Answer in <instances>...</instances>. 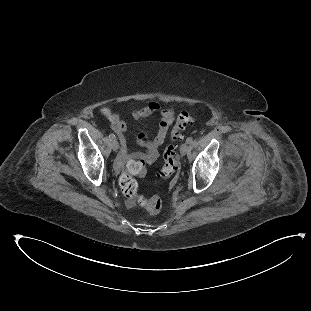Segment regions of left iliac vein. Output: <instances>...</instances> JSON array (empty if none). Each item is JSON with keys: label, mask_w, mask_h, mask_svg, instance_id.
I'll use <instances>...</instances> for the list:
<instances>
[{"label": "left iliac vein", "mask_w": 311, "mask_h": 311, "mask_svg": "<svg viewBox=\"0 0 311 311\" xmlns=\"http://www.w3.org/2000/svg\"><path fill=\"white\" fill-rule=\"evenodd\" d=\"M189 151V146L187 145V143H184L181 145L180 147V153L182 156H185Z\"/></svg>", "instance_id": "left-iliac-vein-1"}]
</instances>
